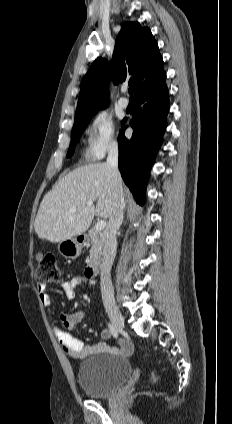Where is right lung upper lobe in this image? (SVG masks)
Masks as SVG:
<instances>
[{"instance_id": "1", "label": "right lung upper lobe", "mask_w": 232, "mask_h": 424, "mask_svg": "<svg viewBox=\"0 0 232 424\" xmlns=\"http://www.w3.org/2000/svg\"><path fill=\"white\" fill-rule=\"evenodd\" d=\"M164 73L158 45L147 27L125 22L119 32L111 65L98 58L84 76L75 120L88 117L109 105L107 82L118 84L128 80L135 87V96L151 88Z\"/></svg>"}]
</instances>
